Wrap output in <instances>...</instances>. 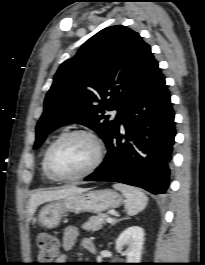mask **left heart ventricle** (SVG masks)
<instances>
[{
	"mask_svg": "<svg viewBox=\"0 0 205 265\" xmlns=\"http://www.w3.org/2000/svg\"><path fill=\"white\" fill-rule=\"evenodd\" d=\"M95 155L96 149L90 139L74 136L64 140L53 150L50 164L57 174L72 176L85 170Z\"/></svg>",
	"mask_w": 205,
	"mask_h": 265,
	"instance_id": "b2bd125f",
	"label": "left heart ventricle"
}]
</instances>
